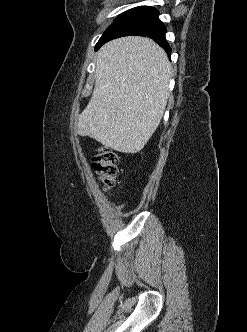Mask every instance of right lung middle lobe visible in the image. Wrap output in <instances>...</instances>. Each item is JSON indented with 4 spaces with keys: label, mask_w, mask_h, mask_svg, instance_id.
Here are the masks:
<instances>
[{
    "label": "right lung middle lobe",
    "mask_w": 247,
    "mask_h": 332,
    "mask_svg": "<svg viewBox=\"0 0 247 332\" xmlns=\"http://www.w3.org/2000/svg\"><path fill=\"white\" fill-rule=\"evenodd\" d=\"M138 8H139V7H136V8L130 9V10H128V11H126V12L120 14V15L117 17V19L114 21V23H116L118 20H120L121 18H123L124 16H126L127 14L133 12L134 10H136V9H138ZM114 23H113V24H114Z\"/></svg>",
    "instance_id": "1"
}]
</instances>
